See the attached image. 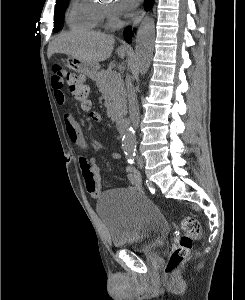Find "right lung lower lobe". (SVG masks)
Here are the masks:
<instances>
[{
    "mask_svg": "<svg viewBox=\"0 0 245 300\" xmlns=\"http://www.w3.org/2000/svg\"><path fill=\"white\" fill-rule=\"evenodd\" d=\"M154 4V0H145L144 8L146 11L150 10ZM133 35L131 31V27H127L124 31V36L126 37L128 42H131L130 38Z\"/></svg>",
    "mask_w": 245,
    "mask_h": 300,
    "instance_id": "obj_1",
    "label": "right lung lower lobe"
}]
</instances>
